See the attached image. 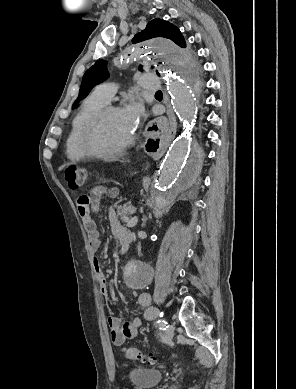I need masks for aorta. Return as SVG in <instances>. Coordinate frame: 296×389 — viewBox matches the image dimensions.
<instances>
[{
  "label": "aorta",
  "mask_w": 296,
  "mask_h": 389,
  "mask_svg": "<svg viewBox=\"0 0 296 389\" xmlns=\"http://www.w3.org/2000/svg\"><path fill=\"white\" fill-rule=\"evenodd\" d=\"M149 46L121 49L114 64L120 67L129 62H145L146 66H156L166 77L172 107L186 128L171 145L151 190L149 204L160 210L179 191L196 186V171L202 165L204 147L191 139V131L203 96L202 69L193 67L190 55L169 40L155 39ZM152 274L150 265L136 259L129 260L123 271L126 283L135 289L147 287Z\"/></svg>",
  "instance_id": "obj_1"
}]
</instances>
